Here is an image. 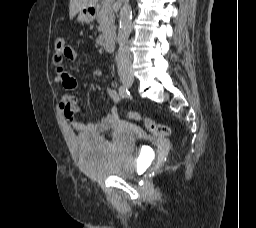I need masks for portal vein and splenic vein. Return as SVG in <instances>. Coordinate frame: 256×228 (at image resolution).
Instances as JSON below:
<instances>
[{
    "label": "portal vein and splenic vein",
    "instance_id": "1",
    "mask_svg": "<svg viewBox=\"0 0 256 228\" xmlns=\"http://www.w3.org/2000/svg\"><path fill=\"white\" fill-rule=\"evenodd\" d=\"M109 1H111V0H105L106 3H108Z\"/></svg>",
    "mask_w": 256,
    "mask_h": 228
}]
</instances>
